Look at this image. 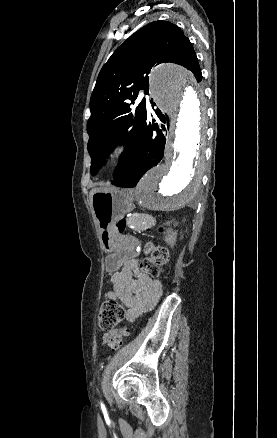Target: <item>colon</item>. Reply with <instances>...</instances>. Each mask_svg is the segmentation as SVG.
<instances>
[{"label":"colon","mask_w":277,"mask_h":438,"mask_svg":"<svg viewBox=\"0 0 277 438\" xmlns=\"http://www.w3.org/2000/svg\"><path fill=\"white\" fill-rule=\"evenodd\" d=\"M153 221H146V231H151L153 227ZM126 226V221L121 220L117 223V229L122 232ZM160 231H163L161 228ZM147 250L150 252V257L145 258L140 268L144 273H147L153 278H157L160 274V268L162 265L168 262L169 253L167 248L163 246H156L153 242L147 244ZM124 313V307L117 301L108 300L105 301L101 307L98 315V325L101 330L109 331L118 325ZM131 332L130 327L125 326L120 329L119 332L111 334L107 338L108 345L113 349H119L122 346L123 339L129 336Z\"/></svg>","instance_id":"obj_1"}]
</instances>
